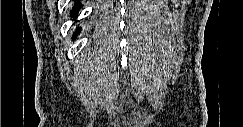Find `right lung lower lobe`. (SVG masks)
<instances>
[{
	"label": "right lung lower lobe",
	"mask_w": 243,
	"mask_h": 127,
	"mask_svg": "<svg viewBox=\"0 0 243 127\" xmlns=\"http://www.w3.org/2000/svg\"><path fill=\"white\" fill-rule=\"evenodd\" d=\"M82 7V4L79 0L75 1L74 7L72 8V10L70 11L71 16H76L79 13V9ZM81 31V28L78 27L75 31V34L73 35V38L76 37L77 34H79ZM75 39V38H74Z\"/></svg>",
	"instance_id": "98d812e1"
}]
</instances>
